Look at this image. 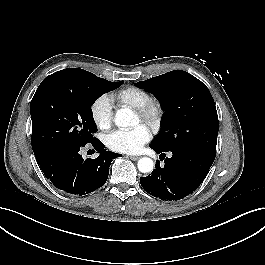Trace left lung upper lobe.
I'll return each mask as SVG.
<instances>
[{"label": "left lung upper lobe", "instance_id": "obj_1", "mask_svg": "<svg viewBox=\"0 0 265 265\" xmlns=\"http://www.w3.org/2000/svg\"><path fill=\"white\" fill-rule=\"evenodd\" d=\"M135 85L154 94L165 111L161 130L150 147L161 151L195 149L215 158L218 115L204 83L175 70Z\"/></svg>", "mask_w": 265, "mask_h": 265}]
</instances>
